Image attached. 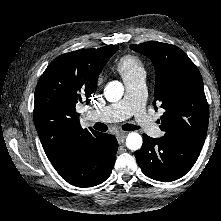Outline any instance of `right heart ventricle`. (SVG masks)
I'll return each mask as SVG.
<instances>
[{
	"instance_id": "1",
	"label": "right heart ventricle",
	"mask_w": 221,
	"mask_h": 221,
	"mask_svg": "<svg viewBox=\"0 0 221 221\" xmlns=\"http://www.w3.org/2000/svg\"><path fill=\"white\" fill-rule=\"evenodd\" d=\"M116 67L124 82L133 80L146 72L142 59L134 54H126L120 57Z\"/></svg>"
}]
</instances>
